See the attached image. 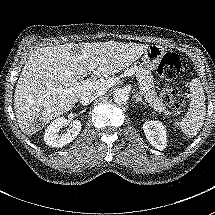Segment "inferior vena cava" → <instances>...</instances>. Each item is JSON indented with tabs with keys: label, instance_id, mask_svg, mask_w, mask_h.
Returning a JSON list of instances; mask_svg holds the SVG:
<instances>
[{
	"label": "inferior vena cava",
	"instance_id": "inferior-vena-cava-1",
	"mask_svg": "<svg viewBox=\"0 0 215 215\" xmlns=\"http://www.w3.org/2000/svg\"><path fill=\"white\" fill-rule=\"evenodd\" d=\"M105 92L106 90H99L95 93L85 92L80 98V103L82 105H89L93 100H95V98L104 94Z\"/></svg>",
	"mask_w": 215,
	"mask_h": 215
}]
</instances>
